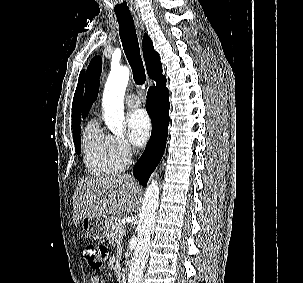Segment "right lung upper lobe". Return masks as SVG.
<instances>
[{"label": "right lung upper lobe", "instance_id": "right-lung-upper-lobe-1", "mask_svg": "<svg viewBox=\"0 0 303 283\" xmlns=\"http://www.w3.org/2000/svg\"><path fill=\"white\" fill-rule=\"evenodd\" d=\"M143 56L145 59L146 69L149 77L156 81V83L165 79L162 76V64L160 62L159 54L154 50L153 43L149 36L145 33L143 37ZM84 87V71L80 73L77 88L73 98L72 104V124L73 127L80 125V101L82 98Z\"/></svg>", "mask_w": 303, "mask_h": 283}]
</instances>
